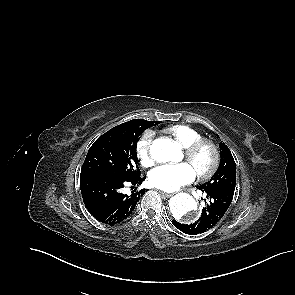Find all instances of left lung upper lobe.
Returning a JSON list of instances; mask_svg holds the SVG:
<instances>
[{
  "label": "left lung upper lobe",
  "mask_w": 295,
  "mask_h": 295,
  "mask_svg": "<svg viewBox=\"0 0 295 295\" xmlns=\"http://www.w3.org/2000/svg\"><path fill=\"white\" fill-rule=\"evenodd\" d=\"M220 165L212 178L200 185L204 189H228L235 190L236 185V164L229 148L220 142Z\"/></svg>",
  "instance_id": "left-lung-upper-lobe-1"
}]
</instances>
